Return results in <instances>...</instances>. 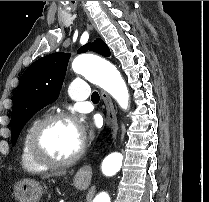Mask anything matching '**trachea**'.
<instances>
[{"mask_svg": "<svg viewBox=\"0 0 209 202\" xmlns=\"http://www.w3.org/2000/svg\"><path fill=\"white\" fill-rule=\"evenodd\" d=\"M91 100L93 103H97L100 100V96L98 94V92H93L91 95Z\"/></svg>", "mask_w": 209, "mask_h": 202, "instance_id": "3493384b", "label": "trachea"}]
</instances>
